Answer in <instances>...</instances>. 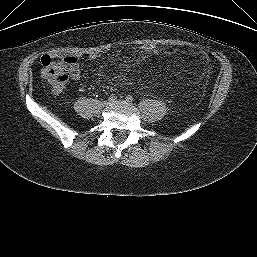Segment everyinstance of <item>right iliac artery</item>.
<instances>
[{"label":"right iliac artery","mask_w":257,"mask_h":257,"mask_svg":"<svg viewBox=\"0 0 257 257\" xmlns=\"http://www.w3.org/2000/svg\"><path fill=\"white\" fill-rule=\"evenodd\" d=\"M117 99V97H115L114 95H111L109 98H108V101L110 102H115Z\"/></svg>","instance_id":"82829eb1"}]
</instances>
